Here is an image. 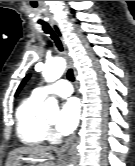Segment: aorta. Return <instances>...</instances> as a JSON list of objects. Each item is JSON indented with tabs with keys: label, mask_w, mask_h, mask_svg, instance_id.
<instances>
[{
	"label": "aorta",
	"mask_w": 135,
	"mask_h": 166,
	"mask_svg": "<svg viewBox=\"0 0 135 166\" xmlns=\"http://www.w3.org/2000/svg\"><path fill=\"white\" fill-rule=\"evenodd\" d=\"M65 68V60L63 58L57 57L45 64L42 74L47 82H54L62 76ZM58 112V103L54 97H49L39 110V113L42 115L57 114ZM67 166H74V163H69Z\"/></svg>",
	"instance_id": "762f6f07"
}]
</instances>
